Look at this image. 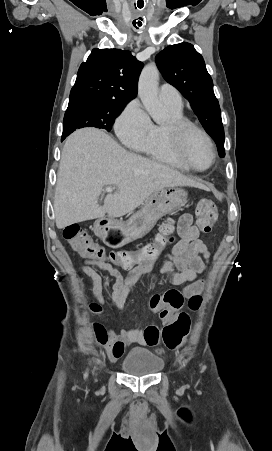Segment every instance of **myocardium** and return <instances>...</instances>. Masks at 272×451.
<instances>
[{
    "label": "myocardium",
    "mask_w": 272,
    "mask_h": 451,
    "mask_svg": "<svg viewBox=\"0 0 272 451\" xmlns=\"http://www.w3.org/2000/svg\"><path fill=\"white\" fill-rule=\"evenodd\" d=\"M190 133H197L205 143L211 156L206 169L211 168L216 162V151L213 143L204 130L182 118H172L166 125L164 134L165 140L172 143L177 163L186 172L201 171L191 168L184 160L186 140Z\"/></svg>",
    "instance_id": "myocardium-1"
}]
</instances>
